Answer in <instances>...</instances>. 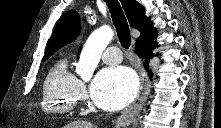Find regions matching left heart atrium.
<instances>
[{
  "mask_svg": "<svg viewBox=\"0 0 221 128\" xmlns=\"http://www.w3.org/2000/svg\"><path fill=\"white\" fill-rule=\"evenodd\" d=\"M137 91L138 80L131 69L108 67L96 75L90 95L103 109L117 110L130 103Z\"/></svg>",
  "mask_w": 221,
  "mask_h": 128,
  "instance_id": "left-heart-atrium-1",
  "label": "left heart atrium"
}]
</instances>
